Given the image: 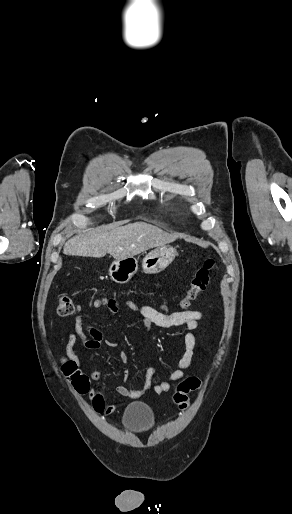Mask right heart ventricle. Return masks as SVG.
I'll use <instances>...</instances> for the list:
<instances>
[{"label": "right heart ventricle", "mask_w": 292, "mask_h": 514, "mask_svg": "<svg viewBox=\"0 0 292 514\" xmlns=\"http://www.w3.org/2000/svg\"><path fill=\"white\" fill-rule=\"evenodd\" d=\"M167 206L170 211L174 209V205L172 203H168Z\"/></svg>", "instance_id": "obj_1"}]
</instances>
